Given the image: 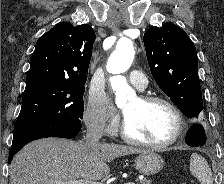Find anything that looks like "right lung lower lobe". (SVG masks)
<instances>
[{"label": "right lung lower lobe", "instance_id": "right-lung-lower-lobe-1", "mask_svg": "<svg viewBox=\"0 0 224 184\" xmlns=\"http://www.w3.org/2000/svg\"><path fill=\"white\" fill-rule=\"evenodd\" d=\"M81 127V123L69 122H44L28 126L14 134L8 163L22 147L33 140L46 137L74 138L80 132Z\"/></svg>", "mask_w": 224, "mask_h": 184}]
</instances>
